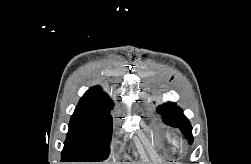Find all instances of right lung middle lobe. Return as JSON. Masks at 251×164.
<instances>
[{
    "label": "right lung middle lobe",
    "instance_id": "obj_1",
    "mask_svg": "<svg viewBox=\"0 0 251 164\" xmlns=\"http://www.w3.org/2000/svg\"><path fill=\"white\" fill-rule=\"evenodd\" d=\"M112 107L79 104L70 120L63 162H99L110 152Z\"/></svg>",
    "mask_w": 251,
    "mask_h": 164
}]
</instances>
